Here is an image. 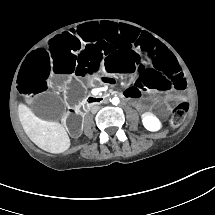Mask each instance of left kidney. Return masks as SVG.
I'll return each mask as SVG.
<instances>
[{
  "label": "left kidney",
  "mask_w": 215,
  "mask_h": 215,
  "mask_svg": "<svg viewBox=\"0 0 215 215\" xmlns=\"http://www.w3.org/2000/svg\"><path fill=\"white\" fill-rule=\"evenodd\" d=\"M143 124L150 131H156L160 128L159 120L152 115H145L143 119Z\"/></svg>",
  "instance_id": "5707ae66"
}]
</instances>
